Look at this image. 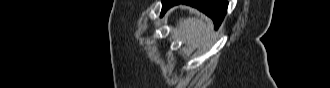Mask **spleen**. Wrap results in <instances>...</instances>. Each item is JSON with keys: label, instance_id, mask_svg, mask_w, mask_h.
I'll return each instance as SVG.
<instances>
[{"label": "spleen", "instance_id": "1", "mask_svg": "<svg viewBox=\"0 0 330 88\" xmlns=\"http://www.w3.org/2000/svg\"><path fill=\"white\" fill-rule=\"evenodd\" d=\"M173 40L183 41L191 48H209L215 41L212 22L205 18L180 19L172 32Z\"/></svg>", "mask_w": 330, "mask_h": 88}]
</instances>
